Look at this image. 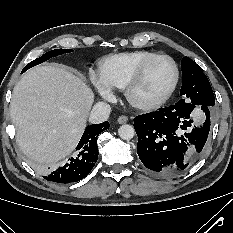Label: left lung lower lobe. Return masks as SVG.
I'll list each match as a JSON object with an SVG mask.
<instances>
[{"instance_id": "obj_1", "label": "left lung lower lobe", "mask_w": 233, "mask_h": 233, "mask_svg": "<svg viewBox=\"0 0 233 233\" xmlns=\"http://www.w3.org/2000/svg\"><path fill=\"white\" fill-rule=\"evenodd\" d=\"M197 108L206 116L200 128L193 127L191 119ZM211 110L210 106L179 101L136 117L137 153L144 166L158 176L171 177L194 163L208 138Z\"/></svg>"}]
</instances>
